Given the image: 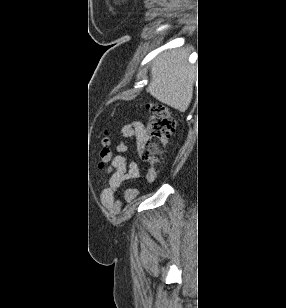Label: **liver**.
<instances>
[{
	"label": "liver",
	"mask_w": 286,
	"mask_h": 308,
	"mask_svg": "<svg viewBox=\"0 0 286 308\" xmlns=\"http://www.w3.org/2000/svg\"><path fill=\"white\" fill-rule=\"evenodd\" d=\"M187 53L170 50L151 65V81L146 89L155 99L184 112L193 98L195 70L187 63Z\"/></svg>",
	"instance_id": "obj_1"
}]
</instances>
